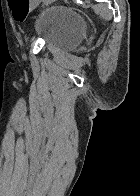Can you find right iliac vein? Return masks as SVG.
Wrapping results in <instances>:
<instances>
[{
	"label": "right iliac vein",
	"mask_w": 140,
	"mask_h": 196,
	"mask_svg": "<svg viewBox=\"0 0 140 196\" xmlns=\"http://www.w3.org/2000/svg\"><path fill=\"white\" fill-rule=\"evenodd\" d=\"M29 39H30V35H29V34H27V35H26V37H25V41H26V43L29 41Z\"/></svg>",
	"instance_id": "63e3f726"
}]
</instances>
